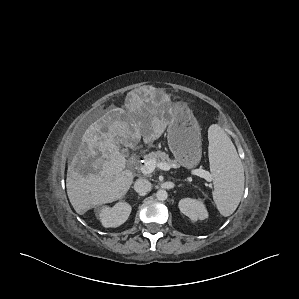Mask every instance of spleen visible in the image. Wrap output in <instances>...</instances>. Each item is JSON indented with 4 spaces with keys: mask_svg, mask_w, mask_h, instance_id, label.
Wrapping results in <instances>:
<instances>
[{
    "mask_svg": "<svg viewBox=\"0 0 299 299\" xmlns=\"http://www.w3.org/2000/svg\"><path fill=\"white\" fill-rule=\"evenodd\" d=\"M209 162L213 177V199L224 217L238 207L244 191V170L236 148L217 124L208 129Z\"/></svg>",
    "mask_w": 299,
    "mask_h": 299,
    "instance_id": "1",
    "label": "spleen"
}]
</instances>
